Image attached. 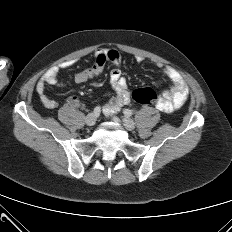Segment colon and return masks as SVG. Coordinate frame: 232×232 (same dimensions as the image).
I'll return each instance as SVG.
<instances>
[{
  "mask_svg": "<svg viewBox=\"0 0 232 232\" xmlns=\"http://www.w3.org/2000/svg\"><path fill=\"white\" fill-rule=\"evenodd\" d=\"M132 99L143 105L153 104L157 99V94L154 89L150 87H140L132 92Z\"/></svg>",
  "mask_w": 232,
  "mask_h": 232,
  "instance_id": "5ec220e1",
  "label": "colon"
}]
</instances>
